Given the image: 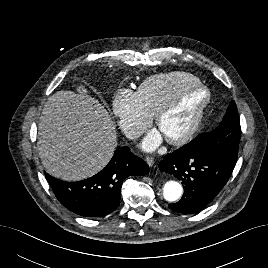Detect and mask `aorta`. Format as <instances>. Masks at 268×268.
Segmentation results:
<instances>
[{"label":"aorta","instance_id":"aorta-1","mask_svg":"<svg viewBox=\"0 0 268 268\" xmlns=\"http://www.w3.org/2000/svg\"><path fill=\"white\" fill-rule=\"evenodd\" d=\"M182 193V185L177 181H167L163 186V196L169 202L177 201L182 196Z\"/></svg>","mask_w":268,"mask_h":268}]
</instances>
